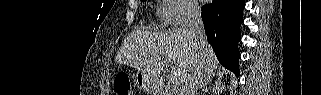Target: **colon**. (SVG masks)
Returning <instances> with one entry per match:
<instances>
[{"instance_id":"1","label":"colon","mask_w":321,"mask_h":95,"mask_svg":"<svg viewBox=\"0 0 321 95\" xmlns=\"http://www.w3.org/2000/svg\"><path fill=\"white\" fill-rule=\"evenodd\" d=\"M114 91L117 95H132L131 83L126 75H117L114 80Z\"/></svg>"}]
</instances>
